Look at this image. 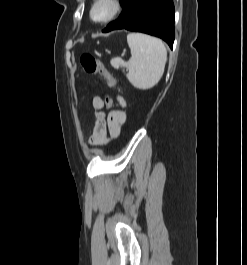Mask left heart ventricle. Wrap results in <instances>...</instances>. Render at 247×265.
Wrapping results in <instances>:
<instances>
[{"mask_svg": "<svg viewBox=\"0 0 247 265\" xmlns=\"http://www.w3.org/2000/svg\"><path fill=\"white\" fill-rule=\"evenodd\" d=\"M108 12V7L105 4L99 5L95 10V17L101 18L104 17Z\"/></svg>", "mask_w": 247, "mask_h": 265, "instance_id": "left-heart-ventricle-1", "label": "left heart ventricle"}]
</instances>
